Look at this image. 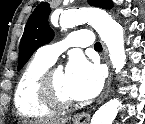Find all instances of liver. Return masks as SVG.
<instances>
[{
    "label": "liver",
    "mask_w": 145,
    "mask_h": 124,
    "mask_svg": "<svg viewBox=\"0 0 145 124\" xmlns=\"http://www.w3.org/2000/svg\"><path fill=\"white\" fill-rule=\"evenodd\" d=\"M68 121V118H53V119H45V120H38L34 121L31 124H66Z\"/></svg>",
    "instance_id": "6515ba94"
}]
</instances>
